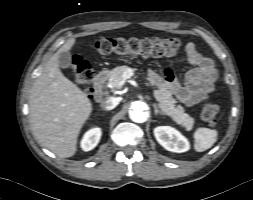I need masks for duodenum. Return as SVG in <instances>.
<instances>
[{
    "label": "duodenum",
    "mask_w": 253,
    "mask_h": 200,
    "mask_svg": "<svg viewBox=\"0 0 253 200\" xmlns=\"http://www.w3.org/2000/svg\"><path fill=\"white\" fill-rule=\"evenodd\" d=\"M107 73L105 71L98 72L93 79V96L99 99L102 96L101 88L106 80Z\"/></svg>",
    "instance_id": "obj_1"
}]
</instances>
